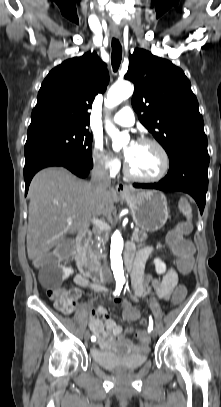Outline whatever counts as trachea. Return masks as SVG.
<instances>
[{"instance_id": "trachea-1", "label": "trachea", "mask_w": 221, "mask_h": 407, "mask_svg": "<svg viewBox=\"0 0 221 407\" xmlns=\"http://www.w3.org/2000/svg\"><path fill=\"white\" fill-rule=\"evenodd\" d=\"M122 59V47L120 42L113 38L112 39V54H111V63L113 67V71L117 72Z\"/></svg>"}]
</instances>
